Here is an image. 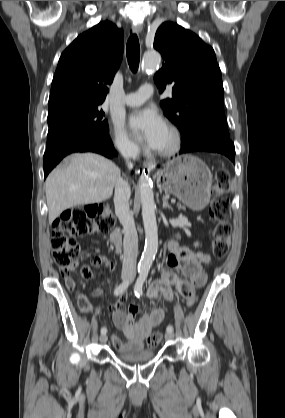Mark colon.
Listing matches in <instances>:
<instances>
[{"label": "colon", "mask_w": 285, "mask_h": 418, "mask_svg": "<svg viewBox=\"0 0 285 418\" xmlns=\"http://www.w3.org/2000/svg\"><path fill=\"white\" fill-rule=\"evenodd\" d=\"M227 192L226 176L220 172L213 185L214 200L209 206V215L215 222L211 248V257L215 259H223L229 251L231 212L226 198ZM114 224L115 218L109 211L96 204L74 207L64 211L54 222L51 233L53 256L60 268L61 275L66 276V268L73 264L80 253V245L76 240L77 236L96 233L105 234ZM105 265L103 258L95 255L90 259V265L83 264L81 266L80 272L84 277H90V266L100 268ZM78 299L83 302L87 301V297L83 293L78 294ZM160 340L161 334L159 332L154 333L148 337L146 346L149 349L154 348Z\"/></svg>", "instance_id": "colon-1"}]
</instances>
